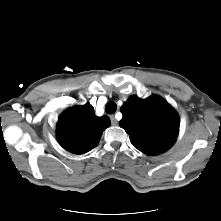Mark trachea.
I'll list each match as a JSON object with an SVG mask.
<instances>
[{
    "label": "trachea",
    "instance_id": "3493384b",
    "mask_svg": "<svg viewBox=\"0 0 221 221\" xmlns=\"http://www.w3.org/2000/svg\"><path fill=\"white\" fill-rule=\"evenodd\" d=\"M116 109H117V105L113 101L108 102L105 106V111L108 114H114L116 112Z\"/></svg>",
    "mask_w": 221,
    "mask_h": 221
}]
</instances>
